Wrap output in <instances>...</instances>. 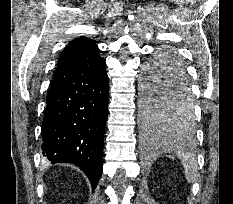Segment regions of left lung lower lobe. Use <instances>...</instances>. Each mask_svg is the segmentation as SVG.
Masks as SVG:
<instances>
[{
	"instance_id": "0a47b994",
	"label": "left lung lower lobe",
	"mask_w": 233,
	"mask_h": 204,
	"mask_svg": "<svg viewBox=\"0 0 233 204\" xmlns=\"http://www.w3.org/2000/svg\"><path fill=\"white\" fill-rule=\"evenodd\" d=\"M185 69V68H184ZM169 75L172 76V79L170 80H166V81H160V84L164 87H166L168 90H172L175 86H179V85H183L185 83H189L188 79H187V75L186 72L183 71L181 74H173L171 72L168 73ZM144 127H145V131L147 133L153 134L155 132H169V131H176L173 129H167L165 127H160V126H155L154 124H145L144 123Z\"/></svg>"
}]
</instances>
